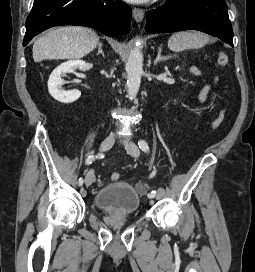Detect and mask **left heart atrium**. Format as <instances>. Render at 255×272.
Segmentation results:
<instances>
[{"mask_svg":"<svg viewBox=\"0 0 255 272\" xmlns=\"http://www.w3.org/2000/svg\"><path fill=\"white\" fill-rule=\"evenodd\" d=\"M128 1H131V2H146L148 0H128Z\"/></svg>","mask_w":255,"mask_h":272,"instance_id":"left-heart-atrium-1","label":"left heart atrium"}]
</instances>
